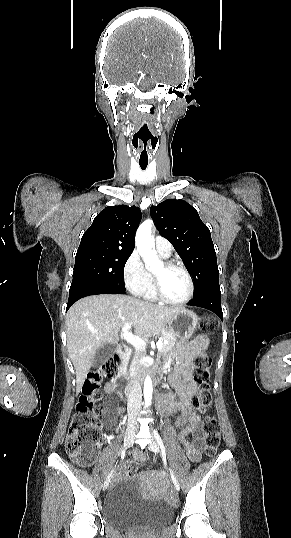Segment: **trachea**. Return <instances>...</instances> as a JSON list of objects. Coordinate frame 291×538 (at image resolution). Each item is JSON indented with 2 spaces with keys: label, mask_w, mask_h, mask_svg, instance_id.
Here are the masks:
<instances>
[{
  "label": "trachea",
  "mask_w": 291,
  "mask_h": 538,
  "mask_svg": "<svg viewBox=\"0 0 291 538\" xmlns=\"http://www.w3.org/2000/svg\"><path fill=\"white\" fill-rule=\"evenodd\" d=\"M148 164L140 163V167L142 170H145Z\"/></svg>",
  "instance_id": "1"
}]
</instances>
